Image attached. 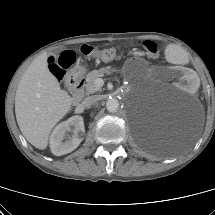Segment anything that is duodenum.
Instances as JSON below:
<instances>
[{"instance_id": "410a0bca", "label": "duodenum", "mask_w": 215, "mask_h": 215, "mask_svg": "<svg viewBox=\"0 0 215 215\" xmlns=\"http://www.w3.org/2000/svg\"><path fill=\"white\" fill-rule=\"evenodd\" d=\"M67 86L72 94V100L76 104L83 96V74L79 70H72L66 78Z\"/></svg>"}]
</instances>
